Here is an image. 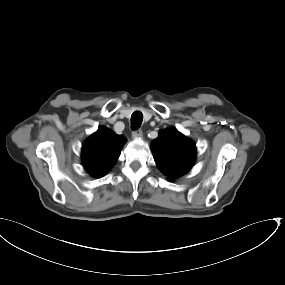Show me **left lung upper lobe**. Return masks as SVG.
<instances>
[{"mask_svg":"<svg viewBox=\"0 0 285 285\" xmlns=\"http://www.w3.org/2000/svg\"><path fill=\"white\" fill-rule=\"evenodd\" d=\"M151 149L157 167L170 179L185 174L195 161V143L173 127L160 131Z\"/></svg>","mask_w":285,"mask_h":285,"instance_id":"obj_1","label":"left lung upper lobe"}]
</instances>
